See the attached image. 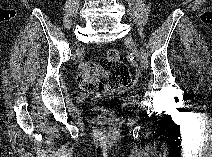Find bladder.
<instances>
[{
    "label": "bladder",
    "mask_w": 212,
    "mask_h": 157,
    "mask_svg": "<svg viewBox=\"0 0 212 157\" xmlns=\"http://www.w3.org/2000/svg\"><path fill=\"white\" fill-rule=\"evenodd\" d=\"M116 94L114 93H106V94H98V93H82L78 96L80 103L86 107H93L96 102L100 99L112 98Z\"/></svg>",
    "instance_id": "31cf9c89"
}]
</instances>
